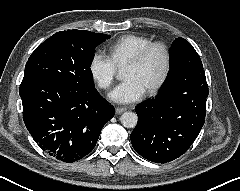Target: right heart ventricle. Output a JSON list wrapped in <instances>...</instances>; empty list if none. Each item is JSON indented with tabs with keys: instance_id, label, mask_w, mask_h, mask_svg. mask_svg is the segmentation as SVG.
Returning <instances> with one entry per match:
<instances>
[{
	"instance_id": "obj_1",
	"label": "right heart ventricle",
	"mask_w": 240,
	"mask_h": 191,
	"mask_svg": "<svg viewBox=\"0 0 240 191\" xmlns=\"http://www.w3.org/2000/svg\"><path fill=\"white\" fill-rule=\"evenodd\" d=\"M151 42L152 40L146 36L137 34L124 35L108 46L109 58L116 67H120Z\"/></svg>"
}]
</instances>
